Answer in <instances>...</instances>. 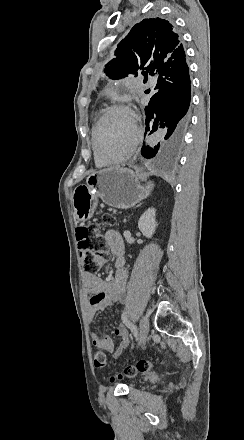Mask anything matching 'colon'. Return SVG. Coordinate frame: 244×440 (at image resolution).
Segmentation results:
<instances>
[{
  "label": "colon",
  "instance_id": "colon-1",
  "mask_svg": "<svg viewBox=\"0 0 244 440\" xmlns=\"http://www.w3.org/2000/svg\"><path fill=\"white\" fill-rule=\"evenodd\" d=\"M113 223L114 221L111 215H104V225H111ZM75 237L78 242V252L86 261L87 272H94L103 264L106 257L107 243L100 229V225L91 224L78 226L76 228ZM92 363L95 368L106 367V354L101 350H95L92 356ZM150 368L151 364L149 360L142 359L134 365L126 366L123 374L119 377L134 378L137 375L148 373ZM113 378L116 380L118 377L115 375Z\"/></svg>",
  "mask_w": 244,
  "mask_h": 440
}]
</instances>
